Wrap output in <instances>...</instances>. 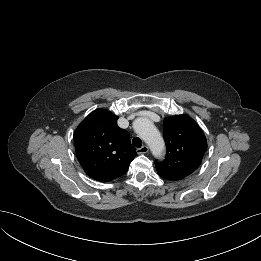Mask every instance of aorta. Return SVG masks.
<instances>
[{
  "label": "aorta",
  "instance_id": "762f6f07",
  "mask_svg": "<svg viewBox=\"0 0 261 261\" xmlns=\"http://www.w3.org/2000/svg\"><path fill=\"white\" fill-rule=\"evenodd\" d=\"M133 127L135 132L147 143L155 157H160L165 150V143L154 124L146 118H137Z\"/></svg>",
  "mask_w": 261,
  "mask_h": 261
}]
</instances>
